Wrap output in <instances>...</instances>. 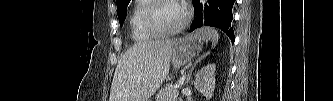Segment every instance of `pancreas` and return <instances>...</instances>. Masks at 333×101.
<instances>
[{
	"mask_svg": "<svg viewBox=\"0 0 333 101\" xmlns=\"http://www.w3.org/2000/svg\"><path fill=\"white\" fill-rule=\"evenodd\" d=\"M179 91L169 85L159 91L156 95V101H176Z\"/></svg>",
	"mask_w": 333,
	"mask_h": 101,
	"instance_id": "cf45deb5",
	"label": "pancreas"
}]
</instances>
